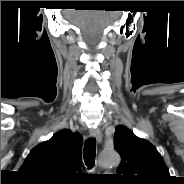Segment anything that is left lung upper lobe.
<instances>
[{"instance_id":"5c2ea615","label":"left lung upper lobe","mask_w":184,"mask_h":184,"mask_svg":"<svg viewBox=\"0 0 184 184\" xmlns=\"http://www.w3.org/2000/svg\"><path fill=\"white\" fill-rule=\"evenodd\" d=\"M114 146L121 163L114 178L122 184H170L172 177L157 149L129 128H115Z\"/></svg>"}]
</instances>
